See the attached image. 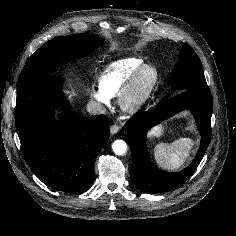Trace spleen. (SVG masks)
<instances>
[{
	"label": "spleen",
	"mask_w": 236,
	"mask_h": 236,
	"mask_svg": "<svg viewBox=\"0 0 236 236\" xmlns=\"http://www.w3.org/2000/svg\"><path fill=\"white\" fill-rule=\"evenodd\" d=\"M194 141L190 138H180L170 144L160 143L154 148L156 163L166 170H177L187 160Z\"/></svg>",
	"instance_id": "spleen-1"
}]
</instances>
